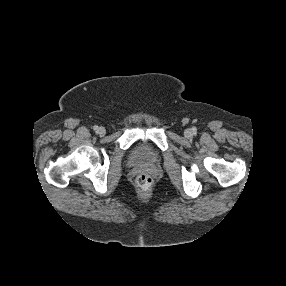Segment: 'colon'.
<instances>
[{"label": "colon", "instance_id": "5ec220e1", "mask_svg": "<svg viewBox=\"0 0 286 286\" xmlns=\"http://www.w3.org/2000/svg\"><path fill=\"white\" fill-rule=\"evenodd\" d=\"M153 180L148 174H140L137 176L136 183L141 188H149L152 184Z\"/></svg>", "mask_w": 286, "mask_h": 286}]
</instances>
